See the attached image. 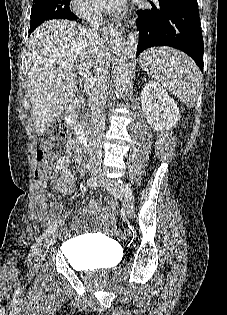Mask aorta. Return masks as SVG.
Wrapping results in <instances>:
<instances>
[{"instance_id": "762f6f07", "label": "aorta", "mask_w": 227, "mask_h": 315, "mask_svg": "<svg viewBox=\"0 0 227 315\" xmlns=\"http://www.w3.org/2000/svg\"><path fill=\"white\" fill-rule=\"evenodd\" d=\"M107 38L111 49L120 51L121 53L115 78L116 93L120 94L129 84L133 74L136 61L138 32L131 31L127 41L124 42L121 34L118 31L111 29L107 33Z\"/></svg>"}]
</instances>
